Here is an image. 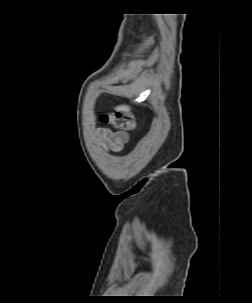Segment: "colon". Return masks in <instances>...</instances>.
<instances>
[{
    "label": "colon",
    "mask_w": 252,
    "mask_h": 303,
    "mask_svg": "<svg viewBox=\"0 0 252 303\" xmlns=\"http://www.w3.org/2000/svg\"><path fill=\"white\" fill-rule=\"evenodd\" d=\"M100 122L112 125L118 129L134 130L136 128L134 116L127 111L115 110L107 114H102L100 116Z\"/></svg>",
    "instance_id": "5ec220e1"
}]
</instances>
